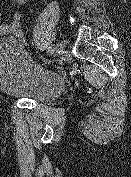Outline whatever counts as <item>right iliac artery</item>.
<instances>
[{
  "mask_svg": "<svg viewBox=\"0 0 131 177\" xmlns=\"http://www.w3.org/2000/svg\"><path fill=\"white\" fill-rule=\"evenodd\" d=\"M54 51H55V48L51 47V46L48 47V49H47V52L50 53V54L54 53Z\"/></svg>",
  "mask_w": 131,
  "mask_h": 177,
  "instance_id": "right-iliac-artery-1",
  "label": "right iliac artery"
}]
</instances>
